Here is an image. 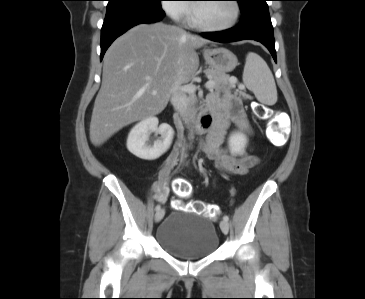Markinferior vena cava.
<instances>
[{
  "instance_id": "1",
  "label": "inferior vena cava",
  "mask_w": 365,
  "mask_h": 299,
  "mask_svg": "<svg viewBox=\"0 0 365 299\" xmlns=\"http://www.w3.org/2000/svg\"><path fill=\"white\" fill-rule=\"evenodd\" d=\"M171 102L176 111L180 114H184L187 111L188 100L185 94L181 91L180 81L177 80L175 82V86L173 88Z\"/></svg>"
}]
</instances>
